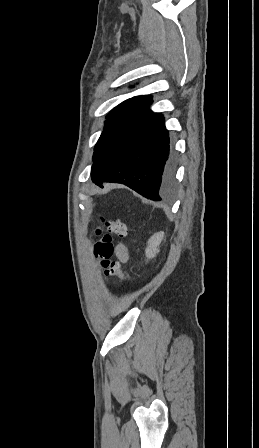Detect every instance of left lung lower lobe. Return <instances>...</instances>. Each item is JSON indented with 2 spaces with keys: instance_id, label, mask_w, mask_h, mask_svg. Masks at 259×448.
Here are the masks:
<instances>
[{
  "instance_id": "left-lung-lower-lobe-1",
  "label": "left lung lower lobe",
  "mask_w": 259,
  "mask_h": 448,
  "mask_svg": "<svg viewBox=\"0 0 259 448\" xmlns=\"http://www.w3.org/2000/svg\"><path fill=\"white\" fill-rule=\"evenodd\" d=\"M152 100L132 115L100 149L91 169L92 181L124 184L151 200H161L173 186L176 158L164 116L150 109Z\"/></svg>"
}]
</instances>
